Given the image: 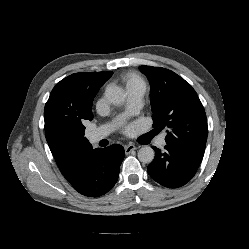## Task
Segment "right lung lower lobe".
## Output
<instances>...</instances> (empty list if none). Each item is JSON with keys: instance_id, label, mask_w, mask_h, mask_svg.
<instances>
[{"instance_id": "98d812e1", "label": "right lung lower lobe", "mask_w": 249, "mask_h": 249, "mask_svg": "<svg viewBox=\"0 0 249 249\" xmlns=\"http://www.w3.org/2000/svg\"><path fill=\"white\" fill-rule=\"evenodd\" d=\"M125 156L118 144L76 154L64 177L82 195L97 197L107 193L117 182Z\"/></svg>"}]
</instances>
